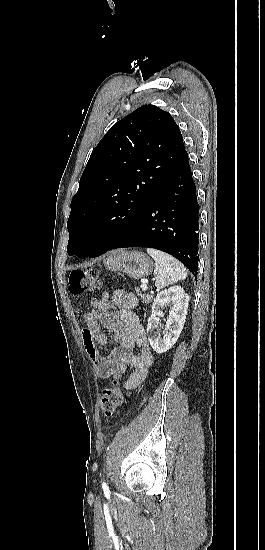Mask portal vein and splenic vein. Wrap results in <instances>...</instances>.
I'll return each instance as SVG.
<instances>
[{
    "mask_svg": "<svg viewBox=\"0 0 265 550\" xmlns=\"http://www.w3.org/2000/svg\"><path fill=\"white\" fill-rule=\"evenodd\" d=\"M141 288L143 291H146L148 289L146 283H142Z\"/></svg>",
    "mask_w": 265,
    "mask_h": 550,
    "instance_id": "1",
    "label": "portal vein and splenic vein"
}]
</instances>
